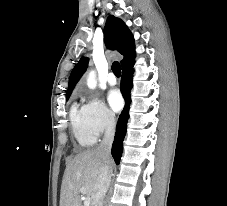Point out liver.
<instances>
[{
    "label": "liver",
    "instance_id": "6515ba94",
    "mask_svg": "<svg viewBox=\"0 0 227 206\" xmlns=\"http://www.w3.org/2000/svg\"><path fill=\"white\" fill-rule=\"evenodd\" d=\"M104 165V157L97 149L83 151L69 161L62 180L60 206H82L80 193L91 197L93 201L97 179ZM112 165L109 158L111 170ZM81 188H85L84 193L80 191Z\"/></svg>",
    "mask_w": 227,
    "mask_h": 206
}]
</instances>
